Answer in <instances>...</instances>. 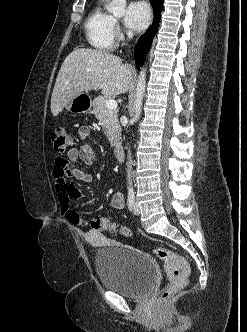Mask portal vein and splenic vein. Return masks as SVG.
Segmentation results:
<instances>
[{"instance_id":"portal-vein-and-splenic-vein-1","label":"portal vein and splenic vein","mask_w":247,"mask_h":332,"mask_svg":"<svg viewBox=\"0 0 247 332\" xmlns=\"http://www.w3.org/2000/svg\"><path fill=\"white\" fill-rule=\"evenodd\" d=\"M105 105L108 109H116L117 108V102L113 99H108L106 101Z\"/></svg>"}]
</instances>
